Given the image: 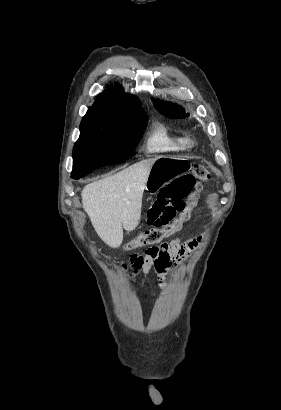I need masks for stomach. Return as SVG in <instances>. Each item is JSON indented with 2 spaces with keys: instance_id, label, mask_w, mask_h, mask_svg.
<instances>
[{
  "instance_id": "stomach-1",
  "label": "stomach",
  "mask_w": 281,
  "mask_h": 410,
  "mask_svg": "<svg viewBox=\"0 0 281 410\" xmlns=\"http://www.w3.org/2000/svg\"><path fill=\"white\" fill-rule=\"evenodd\" d=\"M191 168L189 160L180 156H161L154 161L146 182L149 192H156L174 176Z\"/></svg>"
}]
</instances>
